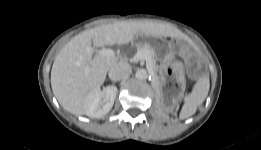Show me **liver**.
I'll return each instance as SVG.
<instances>
[{
    "label": "liver",
    "mask_w": 261,
    "mask_h": 150,
    "mask_svg": "<svg viewBox=\"0 0 261 150\" xmlns=\"http://www.w3.org/2000/svg\"><path fill=\"white\" fill-rule=\"evenodd\" d=\"M138 35L186 38L168 24L142 21L115 22L77 34L57 54L51 69V87L60 105L72 114L85 115L90 96L118 63L116 56L94 55L92 47L126 44Z\"/></svg>",
    "instance_id": "6515ba94"
}]
</instances>
